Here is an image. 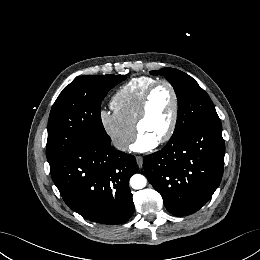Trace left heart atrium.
<instances>
[{"instance_id": "obj_1", "label": "left heart atrium", "mask_w": 260, "mask_h": 260, "mask_svg": "<svg viewBox=\"0 0 260 260\" xmlns=\"http://www.w3.org/2000/svg\"><path fill=\"white\" fill-rule=\"evenodd\" d=\"M157 143L158 141L156 139L140 133L133 145V149L139 152L149 151L153 149Z\"/></svg>"}]
</instances>
